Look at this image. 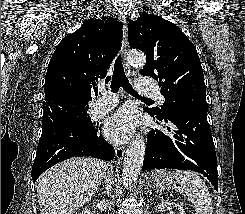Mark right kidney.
<instances>
[{
  "mask_svg": "<svg viewBox=\"0 0 245 214\" xmlns=\"http://www.w3.org/2000/svg\"><path fill=\"white\" fill-rule=\"evenodd\" d=\"M81 214H93L90 209L85 208V210L82 211Z\"/></svg>",
  "mask_w": 245,
  "mask_h": 214,
  "instance_id": "right-kidney-1",
  "label": "right kidney"
}]
</instances>
